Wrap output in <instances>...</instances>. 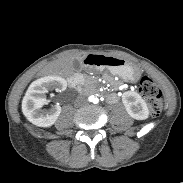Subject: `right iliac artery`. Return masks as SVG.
<instances>
[{
  "instance_id": "82829eb1",
  "label": "right iliac artery",
  "mask_w": 183,
  "mask_h": 183,
  "mask_svg": "<svg viewBox=\"0 0 183 183\" xmlns=\"http://www.w3.org/2000/svg\"><path fill=\"white\" fill-rule=\"evenodd\" d=\"M88 99L90 102H92L94 100L93 96H90Z\"/></svg>"
}]
</instances>
